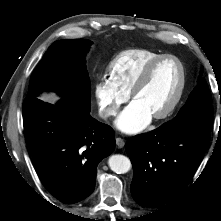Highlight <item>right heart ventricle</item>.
<instances>
[{"label": "right heart ventricle", "mask_w": 221, "mask_h": 221, "mask_svg": "<svg viewBox=\"0 0 221 221\" xmlns=\"http://www.w3.org/2000/svg\"><path fill=\"white\" fill-rule=\"evenodd\" d=\"M163 54L148 49H128L116 55L108 64L109 79L130 94L145 67Z\"/></svg>", "instance_id": "e07e8e85"}]
</instances>
